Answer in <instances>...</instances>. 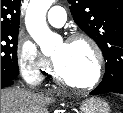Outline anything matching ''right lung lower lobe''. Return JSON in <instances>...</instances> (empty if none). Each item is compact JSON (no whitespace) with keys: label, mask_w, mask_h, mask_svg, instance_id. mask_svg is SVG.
Wrapping results in <instances>:
<instances>
[{"label":"right lung lower lobe","mask_w":123,"mask_h":113,"mask_svg":"<svg viewBox=\"0 0 123 113\" xmlns=\"http://www.w3.org/2000/svg\"><path fill=\"white\" fill-rule=\"evenodd\" d=\"M13 83H14V80L1 79V88L11 86Z\"/></svg>","instance_id":"obj_1"}]
</instances>
